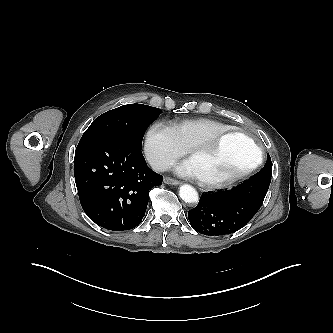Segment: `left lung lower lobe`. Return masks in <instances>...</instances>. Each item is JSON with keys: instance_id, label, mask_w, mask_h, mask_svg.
Wrapping results in <instances>:
<instances>
[{"instance_id": "1", "label": "left lung lower lobe", "mask_w": 333, "mask_h": 333, "mask_svg": "<svg viewBox=\"0 0 333 333\" xmlns=\"http://www.w3.org/2000/svg\"><path fill=\"white\" fill-rule=\"evenodd\" d=\"M271 182L270 175L251 177L232 190L203 194L188 212L199 233L220 236L245 226L260 209Z\"/></svg>"}]
</instances>
